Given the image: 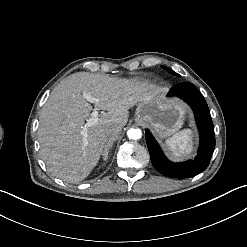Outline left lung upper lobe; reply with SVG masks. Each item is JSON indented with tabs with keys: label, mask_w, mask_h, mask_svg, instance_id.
<instances>
[{
	"label": "left lung upper lobe",
	"mask_w": 247,
	"mask_h": 247,
	"mask_svg": "<svg viewBox=\"0 0 247 247\" xmlns=\"http://www.w3.org/2000/svg\"><path fill=\"white\" fill-rule=\"evenodd\" d=\"M164 69H166L168 72H170L171 74H174L176 76H179L177 73H175L173 70H171L170 68L168 67H165V66H162Z\"/></svg>",
	"instance_id": "obj_1"
}]
</instances>
